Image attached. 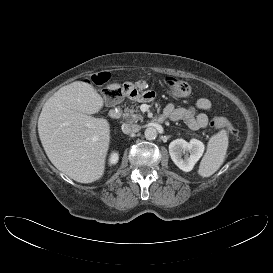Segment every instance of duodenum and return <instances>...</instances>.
Instances as JSON below:
<instances>
[{
  "label": "duodenum",
  "mask_w": 273,
  "mask_h": 273,
  "mask_svg": "<svg viewBox=\"0 0 273 273\" xmlns=\"http://www.w3.org/2000/svg\"><path fill=\"white\" fill-rule=\"evenodd\" d=\"M109 115L112 119H117L120 116V112L117 108L114 107L110 110Z\"/></svg>",
  "instance_id": "410a0bca"
}]
</instances>
